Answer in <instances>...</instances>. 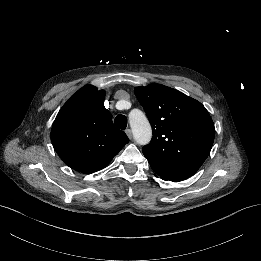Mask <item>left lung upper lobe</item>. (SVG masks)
<instances>
[{
	"instance_id": "obj_1",
	"label": "left lung upper lobe",
	"mask_w": 261,
	"mask_h": 261,
	"mask_svg": "<svg viewBox=\"0 0 261 261\" xmlns=\"http://www.w3.org/2000/svg\"><path fill=\"white\" fill-rule=\"evenodd\" d=\"M135 95L153 129L143 154L155 175L179 182L195 174L214 141V124L206 108L161 84L136 87Z\"/></svg>"
}]
</instances>
